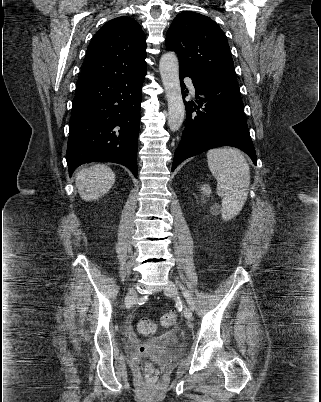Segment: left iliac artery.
<instances>
[{"label": "left iliac artery", "mask_w": 321, "mask_h": 402, "mask_svg": "<svg viewBox=\"0 0 321 402\" xmlns=\"http://www.w3.org/2000/svg\"><path fill=\"white\" fill-rule=\"evenodd\" d=\"M179 286H180V289L182 290L184 297L186 298L188 305L190 306L191 309H194V301H193L191 294L184 286H182L180 284H179Z\"/></svg>", "instance_id": "obj_1"}]
</instances>
